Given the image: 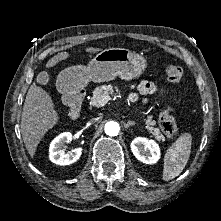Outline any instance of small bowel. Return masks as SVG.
Masks as SVG:
<instances>
[{
    "instance_id": "c3829d8e",
    "label": "small bowel",
    "mask_w": 221,
    "mask_h": 221,
    "mask_svg": "<svg viewBox=\"0 0 221 221\" xmlns=\"http://www.w3.org/2000/svg\"><path fill=\"white\" fill-rule=\"evenodd\" d=\"M136 89L138 94H132L131 99L136 101L139 99V95H152L160 92V89L156 84L149 81H142L138 85H136Z\"/></svg>"
}]
</instances>
